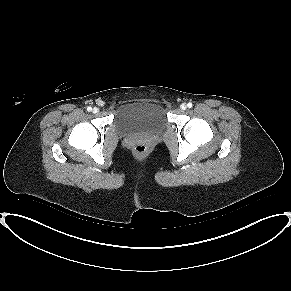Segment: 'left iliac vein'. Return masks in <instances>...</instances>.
Segmentation results:
<instances>
[{
    "instance_id": "obj_1",
    "label": "left iliac vein",
    "mask_w": 291,
    "mask_h": 291,
    "mask_svg": "<svg viewBox=\"0 0 291 291\" xmlns=\"http://www.w3.org/2000/svg\"><path fill=\"white\" fill-rule=\"evenodd\" d=\"M180 108H181L182 110H185V109L187 108V105H186L185 103H183V104H181Z\"/></svg>"
}]
</instances>
